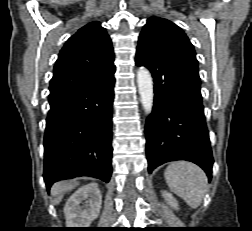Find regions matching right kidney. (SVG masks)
<instances>
[{
    "label": "right kidney",
    "mask_w": 252,
    "mask_h": 231,
    "mask_svg": "<svg viewBox=\"0 0 252 231\" xmlns=\"http://www.w3.org/2000/svg\"><path fill=\"white\" fill-rule=\"evenodd\" d=\"M102 195L97 183L79 188L70 196L64 207L68 228H88L100 213Z\"/></svg>",
    "instance_id": "right-kidney-1"
}]
</instances>
